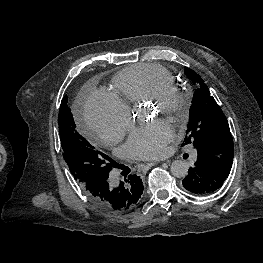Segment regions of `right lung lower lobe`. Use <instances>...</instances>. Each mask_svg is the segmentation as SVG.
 <instances>
[{"instance_id":"98d812e1","label":"right lung lower lobe","mask_w":263,"mask_h":263,"mask_svg":"<svg viewBox=\"0 0 263 263\" xmlns=\"http://www.w3.org/2000/svg\"><path fill=\"white\" fill-rule=\"evenodd\" d=\"M108 177L87 182L82 186L91 203L105 212L112 213L122 207L131 199L130 195L134 190L140 186L143 187L142 180L135 174L129 175L116 186H112Z\"/></svg>"}]
</instances>
